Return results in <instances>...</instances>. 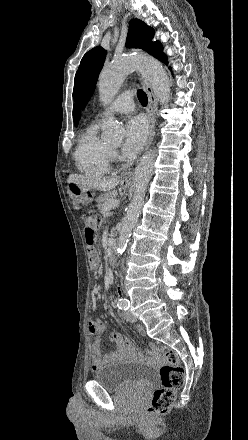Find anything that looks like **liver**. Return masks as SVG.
I'll list each match as a JSON object with an SVG mask.
<instances>
[{
	"label": "liver",
	"instance_id": "obj_1",
	"mask_svg": "<svg viewBox=\"0 0 248 440\" xmlns=\"http://www.w3.org/2000/svg\"><path fill=\"white\" fill-rule=\"evenodd\" d=\"M119 181L118 177H101L79 174H71L67 179L68 184L77 183L100 191H110L114 189L119 184Z\"/></svg>",
	"mask_w": 248,
	"mask_h": 440
}]
</instances>
